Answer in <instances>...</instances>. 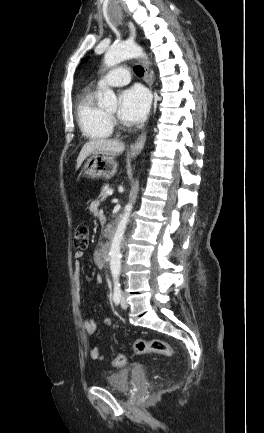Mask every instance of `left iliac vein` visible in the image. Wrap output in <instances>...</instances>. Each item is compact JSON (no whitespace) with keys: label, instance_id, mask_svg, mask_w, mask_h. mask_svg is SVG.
Returning <instances> with one entry per match:
<instances>
[{"label":"left iliac vein","instance_id":"obj_1","mask_svg":"<svg viewBox=\"0 0 264 433\" xmlns=\"http://www.w3.org/2000/svg\"><path fill=\"white\" fill-rule=\"evenodd\" d=\"M120 304H121V307L124 309H126L128 307V304L126 301V296L124 293L121 295Z\"/></svg>","mask_w":264,"mask_h":433}]
</instances>
